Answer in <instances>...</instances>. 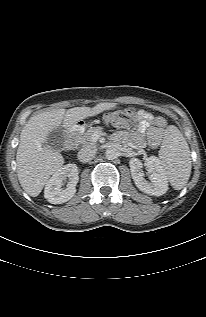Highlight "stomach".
<instances>
[{
	"mask_svg": "<svg viewBox=\"0 0 206 317\" xmlns=\"http://www.w3.org/2000/svg\"><path fill=\"white\" fill-rule=\"evenodd\" d=\"M80 124H83V126H85V125H86L83 121H81V122H80Z\"/></svg>",
	"mask_w": 206,
	"mask_h": 317,
	"instance_id": "1",
	"label": "stomach"
}]
</instances>
